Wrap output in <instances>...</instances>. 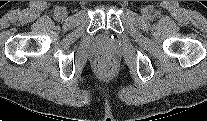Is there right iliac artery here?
<instances>
[{
	"label": "right iliac artery",
	"mask_w": 207,
	"mask_h": 121,
	"mask_svg": "<svg viewBox=\"0 0 207 121\" xmlns=\"http://www.w3.org/2000/svg\"><path fill=\"white\" fill-rule=\"evenodd\" d=\"M59 11H60V9L59 8H57V9H55V14H59Z\"/></svg>",
	"instance_id": "82829eb1"
}]
</instances>
